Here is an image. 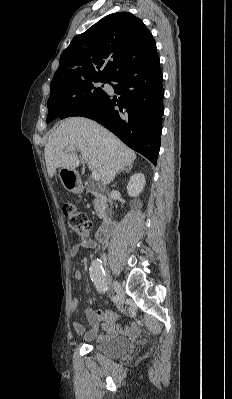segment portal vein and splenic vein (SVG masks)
Here are the masks:
<instances>
[{"label": "portal vein and splenic vein", "mask_w": 232, "mask_h": 399, "mask_svg": "<svg viewBox=\"0 0 232 399\" xmlns=\"http://www.w3.org/2000/svg\"><path fill=\"white\" fill-rule=\"evenodd\" d=\"M66 150H73V148H66ZM73 152H75V150H73ZM92 180H96V182H98V180H100V176L98 174V172H92Z\"/></svg>", "instance_id": "1"}]
</instances>
